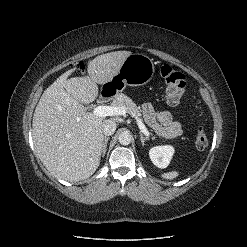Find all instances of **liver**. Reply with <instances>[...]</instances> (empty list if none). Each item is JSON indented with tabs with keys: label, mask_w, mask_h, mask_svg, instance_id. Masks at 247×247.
<instances>
[{
	"label": "liver",
	"mask_w": 247,
	"mask_h": 247,
	"mask_svg": "<svg viewBox=\"0 0 247 247\" xmlns=\"http://www.w3.org/2000/svg\"><path fill=\"white\" fill-rule=\"evenodd\" d=\"M131 54L99 55L89 62L88 76L68 79L75 69L69 70L42 94L33 116L32 137L39 159L55 177L74 182L97 170L105 119L87 112L84 105L97 98L98 84L111 80Z\"/></svg>",
	"instance_id": "liver-1"
}]
</instances>
